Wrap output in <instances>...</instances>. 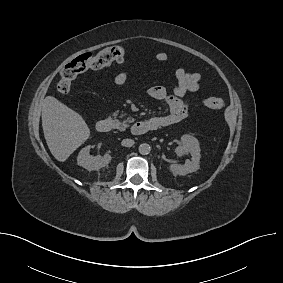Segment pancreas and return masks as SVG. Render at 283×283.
<instances>
[{"instance_id": "1", "label": "pancreas", "mask_w": 283, "mask_h": 283, "mask_svg": "<svg viewBox=\"0 0 283 283\" xmlns=\"http://www.w3.org/2000/svg\"><path fill=\"white\" fill-rule=\"evenodd\" d=\"M116 121V128L119 129L120 131L125 130L128 127L127 122L131 123L134 121V119H132L131 117H129L127 120L120 122L119 120H115Z\"/></svg>"}]
</instances>
